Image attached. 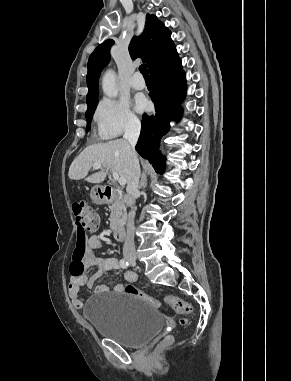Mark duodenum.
I'll use <instances>...</instances> for the list:
<instances>
[{"label":"duodenum","instance_id":"1","mask_svg":"<svg viewBox=\"0 0 291 381\" xmlns=\"http://www.w3.org/2000/svg\"><path fill=\"white\" fill-rule=\"evenodd\" d=\"M104 203H110L118 198V193L112 187H103L101 189ZM124 201L131 203V199L124 198ZM114 238L117 242H123L126 238V228L123 225H116L114 228Z\"/></svg>","mask_w":291,"mask_h":381}]
</instances>
